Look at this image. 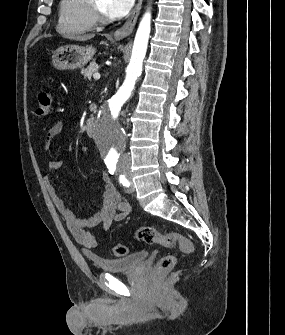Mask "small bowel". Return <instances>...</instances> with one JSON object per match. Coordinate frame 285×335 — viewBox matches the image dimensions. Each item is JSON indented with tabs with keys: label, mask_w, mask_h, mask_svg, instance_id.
<instances>
[{
	"label": "small bowel",
	"mask_w": 285,
	"mask_h": 335,
	"mask_svg": "<svg viewBox=\"0 0 285 335\" xmlns=\"http://www.w3.org/2000/svg\"><path fill=\"white\" fill-rule=\"evenodd\" d=\"M64 129L63 122L55 123L47 132L44 142V150L52 149L53 141ZM61 166L58 159L48 162V174L45 177V185L53 205L65 221L76 241L84 248H93L97 245V238L87 229L102 227L103 233H106L114 222H120L126 219L132 212V207L127 200L116 190L107 174L101 175L102 194L98 209L91 215L81 217L67 208L60 198L57 189L51 181L50 174Z\"/></svg>",
	"instance_id": "small-bowel-1"
}]
</instances>
